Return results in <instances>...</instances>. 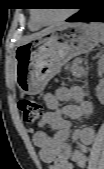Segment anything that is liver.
<instances>
[{
  "instance_id": "6515ba94",
  "label": "liver",
  "mask_w": 104,
  "mask_h": 169,
  "mask_svg": "<svg viewBox=\"0 0 104 169\" xmlns=\"http://www.w3.org/2000/svg\"><path fill=\"white\" fill-rule=\"evenodd\" d=\"M49 29H50V28H49ZM49 29H46V30L42 31L41 33L36 34V35L32 36L31 38L36 37V36H38V35H40V34H42V33L46 32V31H48Z\"/></svg>"
}]
</instances>
